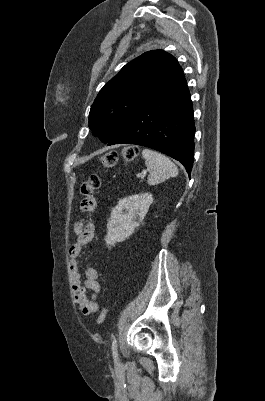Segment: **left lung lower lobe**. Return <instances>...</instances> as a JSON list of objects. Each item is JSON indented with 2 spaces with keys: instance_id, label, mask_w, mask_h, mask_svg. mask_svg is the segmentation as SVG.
Here are the masks:
<instances>
[{
  "instance_id": "1",
  "label": "left lung lower lobe",
  "mask_w": 265,
  "mask_h": 401,
  "mask_svg": "<svg viewBox=\"0 0 265 401\" xmlns=\"http://www.w3.org/2000/svg\"><path fill=\"white\" fill-rule=\"evenodd\" d=\"M194 133L192 101L182 74L143 107L108 145L136 144L155 149L181 162L190 175Z\"/></svg>"
}]
</instances>
